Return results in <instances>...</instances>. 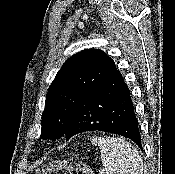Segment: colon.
I'll list each match as a JSON object with an SVG mask.
<instances>
[{"label":"colon","instance_id":"1","mask_svg":"<svg viewBox=\"0 0 175 174\" xmlns=\"http://www.w3.org/2000/svg\"><path fill=\"white\" fill-rule=\"evenodd\" d=\"M62 171L68 174H94L92 169L77 157L50 160L39 168L37 174H58Z\"/></svg>","mask_w":175,"mask_h":174}]
</instances>
